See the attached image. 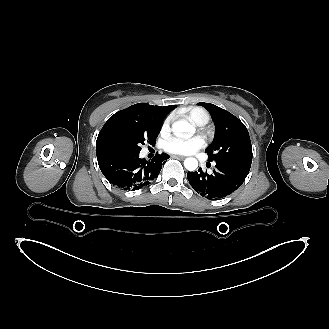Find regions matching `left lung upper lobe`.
Here are the masks:
<instances>
[{"label":"left lung upper lobe","instance_id":"left-lung-upper-lobe-1","mask_svg":"<svg viewBox=\"0 0 329 329\" xmlns=\"http://www.w3.org/2000/svg\"><path fill=\"white\" fill-rule=\"evenodd\" d=\"M211 114L216 127L212 144L205 150L208 160L228 164L249 172L252 145L245 125L230 112L210 103L200 102Z\"/></svg>","mask_w":329,"mask_h":329}]
</instances>
